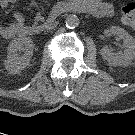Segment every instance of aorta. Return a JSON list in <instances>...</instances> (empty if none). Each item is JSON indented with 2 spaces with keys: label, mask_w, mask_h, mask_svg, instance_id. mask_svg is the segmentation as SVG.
Masks as SVG:
<instances>
[{
  "label": "aorta",
  "mask_w": 135,
  "mask_h": 135,
  "mask_svg": "<svg viewBox=\"0 0 135 135\" xmlns=\"http://www.w3.org/2000/svg\"><path fill=\"white\" fill-rule=\"evenodd\" d=\"M79 23H80L79 18L74 14L68 15L65 19L66 27L71 29L78 27Z\"/></svg>",
  "instance_id": "762f6f07"
}]
</instances>
